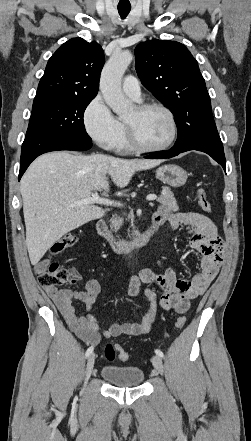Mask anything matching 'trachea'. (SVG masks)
<instances>
[{
  "mask_svg": "<svg viewBox=\"0 0 251 441\" xmlns=\"http://www.w3.org/2000/svg\"><path fill=\"white\" fill-rule=\"evenodd\" d=\"M131 8H118L119 15L124 19L130 12Z\"/></svg>",
  "mask_w": 251,
  "mask_h": 441,
  "instance_id": "1",
  "label": "trachea"
}]
</instances>
